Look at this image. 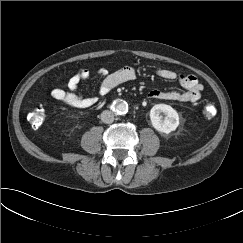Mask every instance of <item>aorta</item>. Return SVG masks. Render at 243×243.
Returning a JSON list of instances; mask_svg holds the SVG:
<instances>
[{
  "instance_id": "762f6f07",
  "label": "aorta",
  "mask_w": 243,
  "mask_h": 243,
  "mask_svg": "<svg viewBox=\"0 0 243 243\" xmlns=\"http://www.w3.org/2000/svg\"><path fill=\"white\" fill-rule=\"evenodd\" d=\"M128 104L125 101H119L115 104V112L118 115H125L128 112Z\"/></svg>"
}]
</instances>
